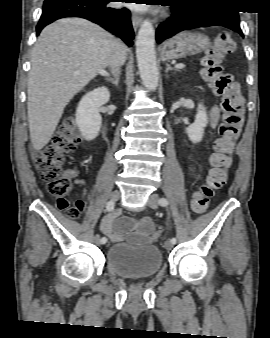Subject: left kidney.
<instances>
[{
	"label": "left kidney",
	"mask_w": 270,
	"mask_h": 338,
	"mask_svg": "<svg viewBox=\"0 0 270 338\" xmlns=\"http://www.w3.org/2000/svg\"><path fill=\"white\" fill-rule=\"evenodd\" d=\"M208 123L207 113L204 105L199 103L195 122L186 128V133L193 143H198L202 140L204 128Z\"/></svg>",
	"instance_id": "obj_1"
}]
</instances>
